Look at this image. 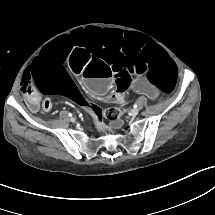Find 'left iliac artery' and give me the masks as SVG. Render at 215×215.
Returning a JSON list of instances; mask_svg holds the SVG:
<instances>
[{
    "instance_id": "obj_1",
    "label": "left iliac artery",
    "mask_w": 215,
    "mask_h": 215,
    "mask_svg": "<svg viewBox=\"0 0 215 215\" xmlns=\"http://www.w3.org/2000/svg\"><path fill=\"white\" fill-rule=\"evenodd\" d=\"M134 108H137V104H134V106H133Z\"/></svg>"
}]
</instances>
